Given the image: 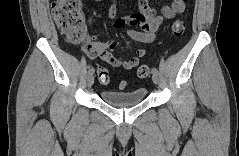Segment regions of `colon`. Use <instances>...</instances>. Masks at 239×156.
Instances as JSON below:
<instances>
[{"mask_svg":"<svg viewBox=\"0 0 239 156\" xmlns=\"http://www.w3.org/2000/svg\"><path fill=\"white\" fill-rule=\"evenodd\" d=\"M52 11L54 19L58 28L64 35L66 41L72 45H80L87 39L84 14L82 6L78 0H57L53 2ZM185 31V23L182 20H177L172 26V33L174 36H182ZM150 74L148 65H141L137 69L139 78H146ZM98 79L101 83L109 82V72L103 67L99 66L97 69ZM120 89H125L127 83L120 81L118 84Z\"/></svg>","mask_w":239,"mask_h":156,"instance_id":"1","label":"colon"}]
</instances>
